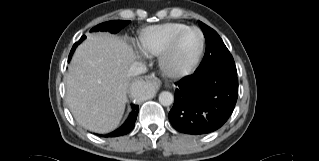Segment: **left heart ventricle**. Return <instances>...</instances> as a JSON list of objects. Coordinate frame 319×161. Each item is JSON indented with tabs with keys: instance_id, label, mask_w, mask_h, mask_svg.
Wrapping results in <instances>:
<instances>
[{
	"instance_id": "obj_1",
	"label": "left heart ventricle",
	"mask_w": 319,
	"mask_h": 161,
	"mask_svg": "<svg viewBox=\"0 0 319 161\" xmlns=\"http://www.w3.org/2000/svg\"><path fill=\"white\" fill-rule=\"evenodd\" d=\"M200 46V34L196 30L184 33L178 40L171 56L176 67H185L195 58Z\"/></svg>"
}]
</instances>
